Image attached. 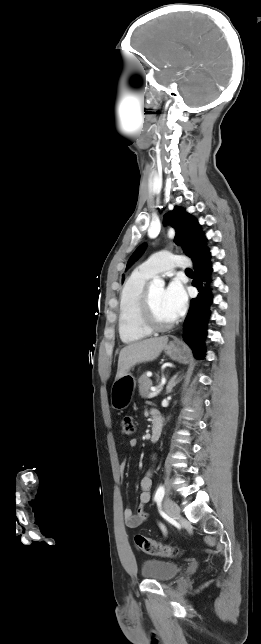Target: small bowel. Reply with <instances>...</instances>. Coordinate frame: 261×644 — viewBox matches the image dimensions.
<instances>
[{
  "mask_svg": "<svg viewBox=\"0 0 261 644\" xmlns=\"http://www.w3.org/2000/svg\"><path fill=\"white\" fill-rule=\"evenodd\" d=\"M154 413H158V412L156 410H153L152 415ZM137 443L138 442H137L136 439H132L130 441V446L131 447H136ZM125 465H126L125 461H123L120 464L121 476H123ZM151 485H152V470H149L142 477V479L140 481L141 492H140V495H139V507H138L137 511L135 512L131 508H126L124 510V518H125L126 525L128 527H130V528H138V527L142 526L145 523V521L147 519V516H146V514L144 512V507H145V505H147L149 503L150 498H151V495H150Z\"/></svg>",
  "mask_w": 261,
  "mask_h": 644,
  "instance_id": "obj_1",
  "label": "small bowel"
}]
</instances>
